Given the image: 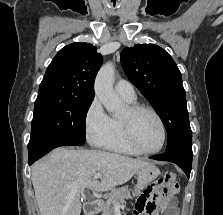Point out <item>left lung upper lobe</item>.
<instances>
[{
	"label": "left lung upper lobe",
	"instance_id": "5c2ea615",
	"mask_svg": "<svg viewBox=\"0 0 223 215\" xmlns=\"http://www.w3.org/2000/svg\"><path fill=\"white\" fill-rule=\"evenodd\" d=\"M120 60L129 80L153 106L168 133L166 152L192 154V131L181 73L172 57L154 44L124 48Z\"/></svg>",
	"mask_w": 223,
	"mask_h": 215
}]
</instances>
